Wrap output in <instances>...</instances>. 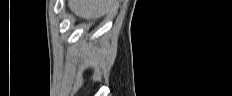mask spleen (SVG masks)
I'll return each instance as SVG.
<instances>
[{"label":"spleen","instance_id":"1","mask_svg":"<svg viewBox=\"0 0 232 96\" xmlns=\"http://www.w3.org/2000/svg\"><path fill=\"white\" fill-rule=\"evenodd\" d=\"M70 10L83 19H95L106 14L112 6L111 0H69Z\"/></svg>","mask_w":232,"mask_h":96}]
</instances>
